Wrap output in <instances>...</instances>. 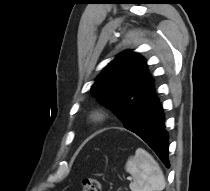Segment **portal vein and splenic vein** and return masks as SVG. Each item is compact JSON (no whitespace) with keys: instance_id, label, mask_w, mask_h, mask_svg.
Listing matches in <instances>:
<instances>
[{"instance_id":"portal-vein-and-splenic-vein-1","label":"portal vein and splenic vein","mask_w":210,"mask_h":191,"mask_svg":"<svg viewBox=\"0 0 210 191\" xmlns=\"http://www.w3.org/2000/svg\"><path fill=\"white\" fill-rule=\"evenodd\" d=\"M128 180H131V178H130V177H128Z\"/></svg>"}]
</instances>
